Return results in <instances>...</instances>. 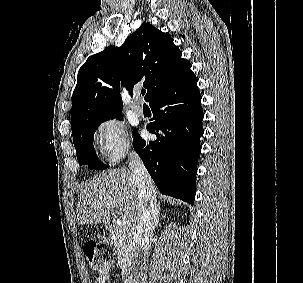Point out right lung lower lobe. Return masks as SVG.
I'll list each match as a JSON object with an SVG mask.
<instances>
[{"instance_id":"obj_1","label":"right lung lower lobe","mask_w":303,"mask_h":283,"mask_svg":"<svg viewBox=\"0 0 303 283\" xmlns=\"http://www.w3.org/2000/svg\"><path fill=\"white\" fill-rule=\"evenodd\" d=\"M192 72L179 84L153 98L149 105L153 122L147 125L156 134L155 141L136 135L135 151L162 194L193 205L197 162L204 130L201 95Z\"/></svg>"}]
</instances>
